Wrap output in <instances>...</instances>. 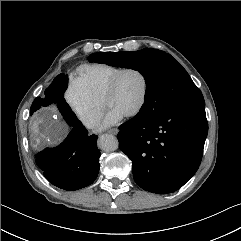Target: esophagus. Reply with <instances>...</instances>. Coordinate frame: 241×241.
Instances as JSON below:
<instances>
[{"mask_svg": "<svg viewBox=\"0 0 241 241\" xmlns=\"http://www.w3.org/2000/svg\"><path fill=\"white\" fill-rule=\"evenodd\" d=\"M108 133L110 134H117L118 133V129L114 128L108 131Z\"/></svg>", "mask_w": 241, "mask_h": 241, "instance_id": "obj_1", "label": "esophagus"}]
</instances>
